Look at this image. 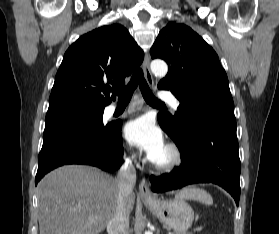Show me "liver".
<instances>
[{
    "label": "liver",
    "mask_w": 279,
    "mask_h": 234,
    "mask_svg": "<svg viewBox=\"0 0 279 234\" xmlns=\"http://www.w3.org/2000/svg\"><path fill=\"white\" fill-rule=\"evenodd\" d=\"M37 190L39 234H99L113 217L118 201L115 178L89 166L60 167L47 174ZM134 203L131 193L125 201L128 214Z\"/></svg>",
    "instance_id": "1"
}]
</instances>
